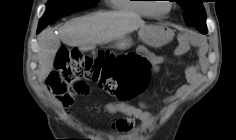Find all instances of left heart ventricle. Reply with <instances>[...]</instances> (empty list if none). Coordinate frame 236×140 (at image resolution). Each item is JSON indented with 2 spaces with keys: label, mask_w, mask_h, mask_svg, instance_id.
Returning <instances> with one entry per match:
<instances>
[{
  "label": "left heart ventricle",
  "mask_w": 236,
  "mask_h": 140,
  "mask_svg": "<svg viewBox=\"0 0 236 140\" xmlns=\"http://www.w3.org/2000/svg\"><path fill=\"white\" fill-rule=\"evenodd\" d=\"M157 8L160 12L165 13L169 9V3H166V2L165 3H160V4L157 5Z\"/></svg>",
  "instance_id": "b2bd125f"
}]
</instances>
